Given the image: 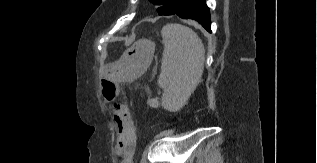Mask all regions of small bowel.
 I'll use <instances>...</instances> for the list:
<instances>
[{
    "instance_id": "small-bowel-1",
    "label": "small bowel",
    "mask_w": 317,
    "mask_h": 163,
    "mask_svg": "<svg viewBox=\"0 0 317 163\" xmlns=\"http://www.w3.org/2000/svg\"><path fill=\"white\" fill-rule=\"evenodd\" d=\"M114 123L117 128V143L123 147V163H130L136 146V131L125 108L119 107L114 111Z\"/></svg>"
}]
</instances>
